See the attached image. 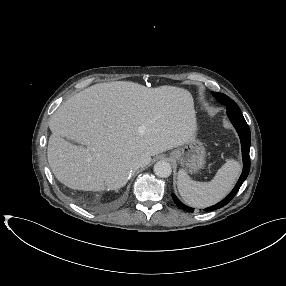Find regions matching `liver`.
I'll list each match as a JSON object with an SVG mask.
<instances>
[{
  "label": "liver",
  "instance_id": "obj_1",
  "mask_svg": "<svg viewBox=\"0 0 286 286\" xmlns=\"http://www.w3.org/2000/svg\"><path fill=\"white\" fill-rule=\"evenodd\" d=\"M49 128L47 158L58 181L71 189L103 191L125 186L135 163L145 166L151 156L194 141L197 122L189 91L116 81L69 98L51 116Z\"/></svg>",
  "mask_w": 286,
  "mask_h": 286
}]
</instances>
